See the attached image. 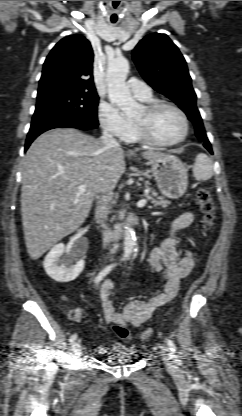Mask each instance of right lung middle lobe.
Wrapping results in <instances>:
<instances>
[{"label":"right lung middle lobe","instance_id":"obj_1","mask_svg":"<svg viewBox=\"0 0 242 416\" xmlns=\"http://www.w3.org/2000/svg\"><path fill=\"white\" fill-rule=\"evenodd\" d=\"M99 97L96 92L59 89L51 93L38 95L32 123L44 118H69L97 127V106Z\"/></svg>","mask_w":242,"mask_h":416}]
</instances>
